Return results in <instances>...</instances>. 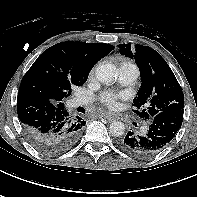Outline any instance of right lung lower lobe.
<instances>
[{
    "instance_id": "98d812e1",
    "label": "right lung lower lobe",
    "mask_w": 197,
    "mask_h": 197,
    "mask_svg": "<svg viewBox=\"0 0 197 197\" xmlns=\"http://www.w3.org/2000/svg\"><path fill=\"white\" fill-rule=\"evenodd\" d=\"M17 107L24 132L45 153H62L79 141L85 121L70 116L64 103H53L36 91L19 89Z\"/></svg>"
}]
</instances>
